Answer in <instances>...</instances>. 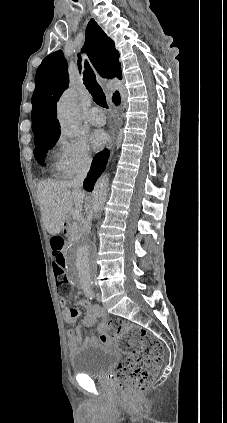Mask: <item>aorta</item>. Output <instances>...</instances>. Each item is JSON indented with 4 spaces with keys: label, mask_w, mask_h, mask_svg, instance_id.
Returning a JSON list of instances; mask_svg holds the SVG:
<instances>
[{
    "label": "aorta",
    "mask_w": 227,
    "mask_h": 423,
    "mask_svg": "<svg viewBox=\"0 0 227 423\" xmlns=\"http://www.w3.org/2000/svg\"><path fill=\"white\" fill-rule=\"evenodd\" d=\"M57 119L61 132L68 137H75L79 132L80 116L77 106V94L66 90L57 103ZM109 187V175L100 176L92 193V212L98 216L106 202ZM97 252L93 244L87 241L72 244L65 256L66 272L69 279L81 287L89 286L97 272Z\"/></svg>",
    "instance_id": "1"
}]
</instances>
